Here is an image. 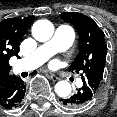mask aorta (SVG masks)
<instances>
[{"instance_id": "762f6f07", "label": "aorta", "mask_w": 117, "mask_h": 117, "mask_svg": "<svg viewBox=\"0 0 117 117\" xmlns=\"http://www.w3.org/2000/svg\"><path fill=\"white\" fill-rule=\"evenodd\" d=\"M54 33V26L48 20H38L33 24L32 35L40 42L51 39ZM71 85L67 81H59L55 85V92L61 98H66L71 94Z\"/></svg>"}]
</instances>
